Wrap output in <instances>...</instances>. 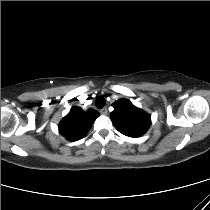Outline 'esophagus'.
<instances>
[{"mask_svg":"<svg viewBox=\"0 0 210 210\" xmlns=\"http://www.w3.org/2000/svg\"><path fill=\"white\" fill-rule=\"evenodd\" d=\"M100 113L102 114V115H107V113H108V110H107V108H102L101 110H100Z\"/></svg>","mask_w":210,"mask_h":210,"instance_id":"34e87169","label":"esophagus"}]
</instances>
